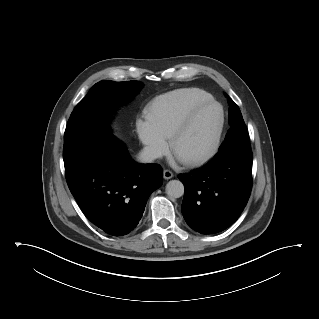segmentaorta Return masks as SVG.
Segmentation results:
<instances>
[{
	"instance_id": "obj_1",
	"label": "aorta",
	"mask_w": 319,
	"mask_h": 319,
	"mask_svg": "<svg viewBox=\"0 0 319 319\" xmlns=\"http://www.w3.org/2000/svg\"><path fill=\"white\" fill-rule=\"evenodd\" d=\"M166 193L171 198H179L184 194V185L179 180H171L166 185Z\"/></svg>"
}]
</instances>
